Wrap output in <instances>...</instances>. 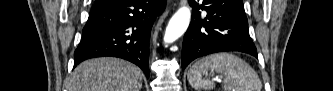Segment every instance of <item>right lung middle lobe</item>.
I'll list each match as a JSON object with an SVG mask.
<instances>
[{
    "mask_svg": "<svg viewBox=\"0 0 333 91\" xmlns=\"http://www.w3.org/2000/svg\"><path fill=\"white\" fill-rule=\"evenodd\" d=\"M111 0L101 1V2H95V3H103V2H109Z\"/></svg>",
    "mask_w": 333,
    "mask_h": 91,
    "instance_id": "dd1d6c3e",
    "label": "right lung middle lobe"
}]
</instances>
